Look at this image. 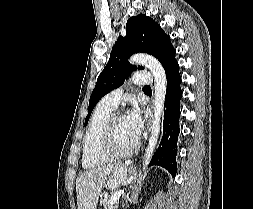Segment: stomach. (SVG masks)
<instances>
[{"mask_svg":"<svg viewBox=\"0 0 253 209\" xmlns=\"http://www.w3.org/2000/svg\"><path fill=\"white\" fill-rule=\"evenodd\" d=\"M126 169V168H125ZM127 171V170H126ZM104 185H103V190H108V186H114V181H104V183H103Z\"/></svg>","mask_w":253,"mask_h":209,"instance_id":"0dacf381","label":"stomach"}]
</instances>
